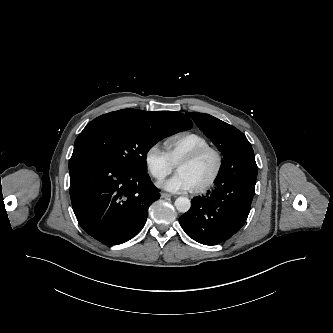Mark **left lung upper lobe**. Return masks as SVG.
<instances>
[{"mask_svg": "<svg viewBox=\"0 0 333 333\" xmlns=\"http://www.w3.org/2000/svg\"><path fill=\"white\" fill-rule=\"evenodd\" d=\"M187 114L212 140L224 158L239 147L250 144L241 131L226 122L204 113L188 112Z\"/></svg>", "mask_w": 333, "mask_h": 333, "instance_id": "1", "label": "left lung upper lobe"}]
</instances>
